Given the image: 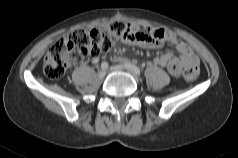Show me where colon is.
Returning a JSON list of instances; mask_svg holds the SVG:
<instances>
[{"label": "colon", "instance_id": "colon-1", "mask_svg": "<svg viewBox=\"0 0 238 158\" xmlns=\"http://www.w3.org/2000/svg\"><path fill=\"white\" fill-rule=\"evenodd\" d=\"M132 35V25L122 21L93 29H73L52 45L44 59L43 71L47 77L58 79L73 63L108 51L116 41L129 40ZM198 75V66L183 70V77L187 81H195Z\"/></svg>", "mask_w": 238, "mask_h": 158}]
</instances>
